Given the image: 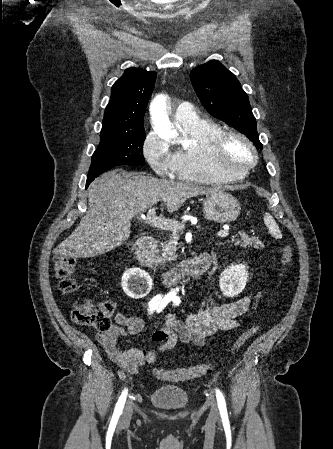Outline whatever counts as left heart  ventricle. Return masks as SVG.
Returning a JSON list of instances; mask_svg holds the SVG:
<instances>
[{"label": "left heart ventricle", "mask_w": 333, "mask_h": 449, "mask_svg": "<svg viewBox=\"0 0 333 449\" xmlns=\"http://www.w3.org/2000/svg\"><path fill=\"white\" fill-rule=\"evenodd\" d=\"M251 158L248 149L238 142H231L227 146L224 164L231 168H239Z\"/></svg>", "instance_id": "b2bd125f"}]
</instances>
